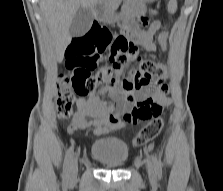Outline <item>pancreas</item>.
<instances>
[{
	"mask_svg": "<svg viewBox=\"0 0 223 191\" xmlns=\"http://www.w3.org/2000/svg\"><path fill=\"white\" fill-rule=\"evenodd\" d=\"M121 0H106L104 3V8L110 12L114 11L117 9L119 6Z\"/></svg>",
	"mask_w": 223,
	"mask_h": 191,
	"instance_id": "1",
	"label": "pancreas"
}]
</instances>
